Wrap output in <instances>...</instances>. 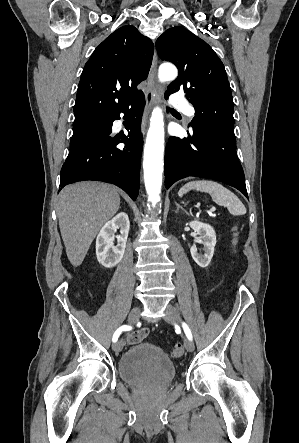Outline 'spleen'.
<instances>
[{
	"label": "spleen",
	"instance_id": "spleen-1",
	"mask_svg": "<svg viewBox=\"0 0 299 443\" xmlns=\"http://www.w3.org/2000/svg\"><path fill=\"white\" fill-rule=\"evenodd\" d=\"M190 190L209 193L216 204L227 207L229 212L234 216L244 215L246 213V208L239 198L217 182L210 180L191 181L180 188L178 195L182 197Z\"/></svg>",
	"mask_w": 299,
	"mask_h": 443
}]
</instances>
